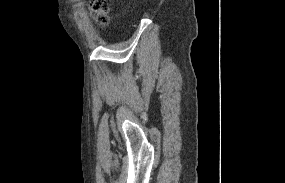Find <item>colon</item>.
I'll list each match as a JSON object with an SVG mask.
<instances>
[{"label":"colon","instance_id":"1","mask_svg":"<svg viewBox=\"0 0 285 183\" xmlns=\"http://www.w3.org/2000/svg\"><path fill=\"white\" fill-rule=\"evenodd\" d=\"M110 0H90L89 9L94 20L100 27L108 24Z\"/></svg>","mask_w":285,"mask_h":183}]
</instances>
